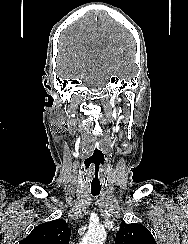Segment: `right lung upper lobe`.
<instances>
[{"label": "right lung upper lobe", "instance_id": "1", "mask_svg": "<svg viewBox=\"0 0 188 244\" xmlns=\"http://www.w3.org/2000/svg\"><path fill=\"white\" fill-rule=\"evenodd\" d=\"M70 234L66 222L57 219L38 225L19 244H68Z\"/></svg>", "mask_w": 188, "mask_h": 244}]
</instances>
